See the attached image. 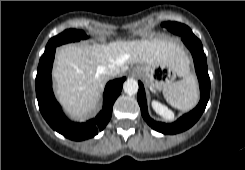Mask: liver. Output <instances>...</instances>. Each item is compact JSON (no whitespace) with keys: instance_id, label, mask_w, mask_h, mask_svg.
<instances>
[{"instance_id":"6515ba94","label":"liver","mask_w":245,"mask_h":170,"mask_svg":"<svg viewBox=\"0 0 245 170\" xmlns=\"http://www.w3.org/2000/svg\"><path fill=\"white\" fill-rule=\"evenodd\" d=\"M110 64L116 65L120 74L132 64H170L180 77L189 73L181 46L165 38L65 45L56 53L53 77L56 95L74 119L85 118L96 109L108 79L103 70Z\"/></svg>"}]
</instances>
